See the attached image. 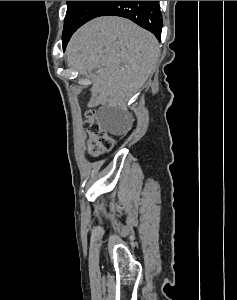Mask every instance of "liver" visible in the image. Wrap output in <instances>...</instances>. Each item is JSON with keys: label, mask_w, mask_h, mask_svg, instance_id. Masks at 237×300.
<instances>
[{"label": "liver", "mask_w": 237, "mask_h": 300, "mask_svg": "<svg viewBox=\"0 0 237 300\" xmlns=\"http://www.w3.org/2000/svg\"><path fill=\"white\" fill-rule=\"evenodd\" d=\"M66 55L80 75L96 71L92 91L99 101L127 103L154 73L160 47L129 19L98 17L72 35Z\"/></svg>", "instance_id": "6515ba94"}]
</instances>
